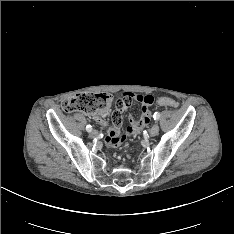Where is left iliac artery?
<instances>
[{
  "label": "left iliac artery",
  "mask_w": 234,
  "mask_h": 234,
  "mask_svg": "<svg viewBox=\"0 0 234 234\" xmlns=\"http://www.w3.org/2000/svg\"><path fill=\"white\" fill-rule=\"evenodd\" d=\"M153 118H154V120H159V118H160V113L159 112H155L154 113V115H153Z\"/></svg>",
  "instance_id": "1"
}]
</instances>
